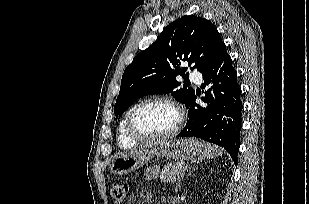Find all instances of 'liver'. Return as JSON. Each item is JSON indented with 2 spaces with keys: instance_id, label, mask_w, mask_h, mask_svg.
Returning <instances> with one entry per match:
<instances>
[{
  "instance_id": "1",
  "label": "liver",
  "mask_w": 309,
  "mask_h": 204,
  "mask_svg": "<svg viewBox=\"0 0 309 204\" xmlns=\"http://www.w3.org/2000/svg\"><path fill=\"white\" fill-rule=\"evenodd\" d=\"M163 141V140H162ZM162 141H158V142H154V143H150L149 145H147L146 147L144 148H150V147H153L154 145H157L158 143L162 142ZM143 149V148H141ZM140 150V149H139Z\"/></svg>"
}]
</instances>
